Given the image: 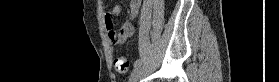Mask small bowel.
Masks as SVG:
<instances>
[{"label": "small bowel", "mask_w": 279, "mask_h": 82, "mask_svg": "<svg viewBox=\"0 0 279 82\" xmlns=\"http://www.w3.org/2000/svg\"><path fill=\"white\" fill-rule=\"evenodd\" d=\"M141 8V0H131L130 1V19L131 21L125 22L119 29H115L112 17L117 16L121 8L119 5L113 6L108 14L105 16V24L107 28V33L109 37L110 44L113 46H118L127 41L134 33L133 20L138 16Z\"/></svg>", "instance_id": "small-bowel-1"}]
</instances>
